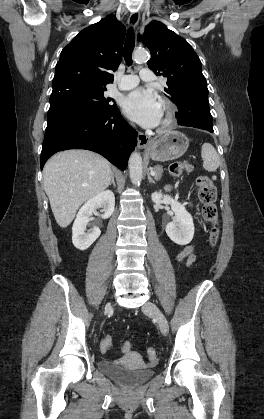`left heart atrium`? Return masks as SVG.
<instances>
[{"label":"left heart atrium","mask_w":264,"mask_h":419,"mask_svg":"<svg viewBox=\"0 0 264 419\" xmlns=\"http://www.w3.org/2000/svg\"><path fill=\"white\" fill-rule=\"evenodd\" d=\"M125 113L144 127L157 126L162 117V107L157 96L150 90L137 88L123 101Z\"/></svg>","instance_id":"39dd6f15"}]
</instances>
